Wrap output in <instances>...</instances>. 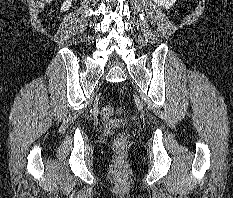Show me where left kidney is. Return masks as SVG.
<instances>
[{"mask_svg":"<svg viewBox=\"0 0 233 198\" xmlns=\"http://www.w3.org/2000/svg\"><path fill=\"white\" fill-rule=\"evenodd\" d=\"M153 1L165 9H169L176 2V0H153Z\"/></svg>","mask_w":233,"mask_h":198,"instance_id":"obj_1","label":"left kidney"}]
</instances>
